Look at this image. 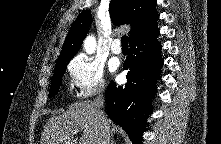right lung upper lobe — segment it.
Instances as JSON below:
<instances>
[{
  "label": "right lung upper lobe",
  "mask_w": 221,
  "mask_h": 144,
  "mask_svg": "<svg viewBox=\"0 0 221 144\" xmlns=\"http://www.w3.org/2000/svg\"><path fill=\"white\" fill-rule=\"evenodd\" d=\"M110 16L113 23L129 24V41L156 25L159 15L156 0H111ZM91 25L89 10L81 12L66 37L57 64L68 63L77 53Z\"/></svg>",
  "instance_id": "right-lung-upper-lobe-1"
}]
</instances>
